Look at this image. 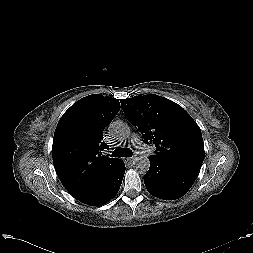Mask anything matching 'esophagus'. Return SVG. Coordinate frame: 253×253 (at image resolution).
Segmentation results:
<instances>
[{"label": "esophagus", "instance_id": "1", "mask_svg": "<svg viewBox=\"0 0 253 253\" xmlns=\"http://www.w3.org/2000/svg\"><path fill=\"white\" fill-rule=\"evenodd\" d=\"M134 160H135L134 157L126 158V161L129 162V163H132Z\"/></svg>", "mask_w": 253, "mask_h": 253}]
</instances>
